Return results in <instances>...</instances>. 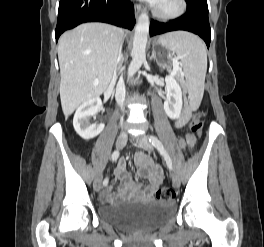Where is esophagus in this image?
Returning <instances> with one entry per match:
<instances>
[{"label": "esophagus", "instance_id": "1", "mask_svg": "<svg viewBox=\"0 0 264 247\" xmlns=\"http://www.w3.org/2000/svg\"><path fill=\"white\" fill-rule=\"evenodd\" d=\"M134 8H135V14L138 15L139 12L141 11V6L136 4Z\"/></svg>", "mask_w": 264, "mask_h": 247}]
</instances>
